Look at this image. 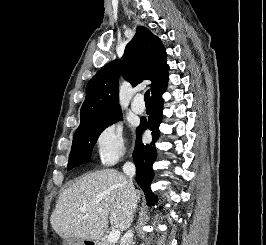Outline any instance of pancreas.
<instances>
[{
	"mask_svg": "<svg viewBox=\"0 0 266 245\" xmlns=\"http://www.w3.org/2000/svg\"><path fill=\"white\" fill-rule=\"evenodd\" d=\"M100 245H112V243H108V241H101Z\"/></svg>",
	"mask_w": 266,
	"mask_h": 245,
	"instance_id": "obj_1",
	"label": "pancreas"
}]
</instances>
